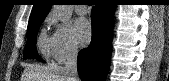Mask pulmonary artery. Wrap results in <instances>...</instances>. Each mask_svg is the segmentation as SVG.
Returning <instances> with one entry per match:
<instances>
[{
  "label": "pulmonary artery",
  "mask_w": 169,
  "mask_h": 81,
  "mask_svg": "<svg viewBox=\"0 0 169 81\" xmlns=\"http://www.w3.org/2000/svg\"><path fill=\"white\" fill-rule=\"evenodd\" d=\"M78 13L79 14H86L87 13V10L84 6H79L78 7Z\"/></svg>",
  "instance_id": "pulmonary-artery-1"
}]
</instances>
